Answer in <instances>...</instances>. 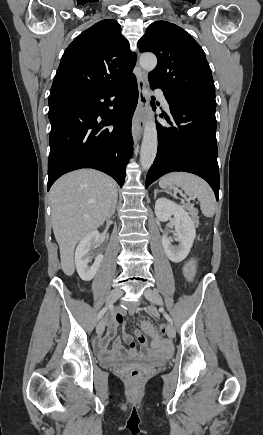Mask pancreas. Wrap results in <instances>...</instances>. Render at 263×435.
Instances as JSON below:
<instances>
[{
	"label": "pancreas",
	"instance_id": "1",
	"mask_svg": "<svg viewBox=\"0 0 263 435\" xmlns=\"http://www.w3.org/2000/svg\"><path fill=\"white\" fill-rule=\"evenodd\" d=\"M186 208L189 210L190 215L192 216L194 222L196 224H198V220H199L198 210L196 208H194V206L192 204H189Z\"/></svg>",
	"mask_w": 263,
	"mask_h": 435
}]
</instances>
